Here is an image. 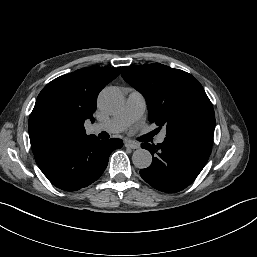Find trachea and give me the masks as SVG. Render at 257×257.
<instances>
[{
  "label": "trachea",
  "mask_w": 257,
  "mask_h": 257,
  "mask_svg": "<svg viewBox=\"0 0 257 257\" xmlns=\"http://www.w3.org/2000/svg\"><path fill=\"white\" fill-rule=\"evenodd\" d=\"M104 134H105V132H102V133L100 134V137H101L102 139L107 138L106 136H104Z\"/></svg>",
  "instance_id": "1"
}]
</instances>
